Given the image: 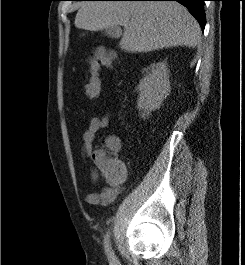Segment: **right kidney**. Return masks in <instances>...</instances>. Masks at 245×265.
Wrapping results in <instances>:
<instances>
[{
	"label": "right kidney",
	"instance_id": "obj_1",
	"mask_svg": "<svg viewBox=\"0 0 245 265\" xmlns=\"http://www.w3.org/2000/svg\"><path fill=\"white\" fill-rule=\"evenodd\" d=\"M138 90L137 108L141 111L140 116L145 119L160 107L170 92L169 70L166 63L154 64L151 72L140 80Z\"/></svg>",
	"mask_w": 245,
	"mask_h": 265
}]
</instances>
